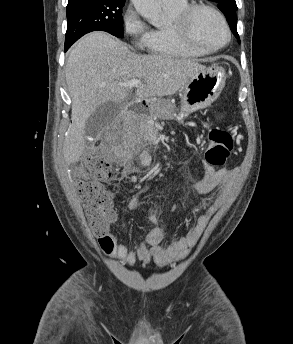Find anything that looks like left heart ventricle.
<instances>
[{"mask_svg": "<svg viewBox=\"0 0 293 344\" xmlns=\"http://www.w3.org/2000/svg\"><path fill=\"white\" fill-rule=\"evenodd\" d=\"M194 41L206 48H214L226 40V32L219 19L209 11H197L190 23Z\"/></svg>", "mask_w": 293, "mask_h": 344, "instance_id": "1", "label": "left heart ventricle"}]
</instances>
